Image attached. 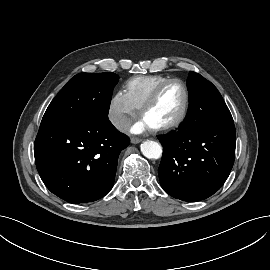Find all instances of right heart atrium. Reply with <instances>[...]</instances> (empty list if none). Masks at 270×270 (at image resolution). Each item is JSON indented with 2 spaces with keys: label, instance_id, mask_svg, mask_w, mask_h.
Returning <instances> with one entry per match:
<instances>
[{
  "label": "right heart atrium",
  "instance_id": "d8ad5b80",
  "mask_svg": "<svg viewBox=\"0 0 270 270\" xmlns=\"http://www.w3.org/2000/svg\"><path fill=\"white\" fill-rule=\"evenodd\" d=\"M136 115V108L123 91H117L110 99L108 106V120L118 131H124L132 118Z\"/></svg>",
  "mask_w": 270,
  "mask_h": 270
}]
</instances>
